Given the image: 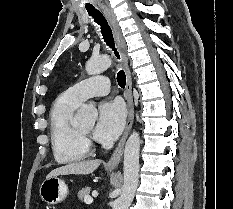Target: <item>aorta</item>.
Wrapping results in <instances>:
<instances>
[{
	"mask_svg": "<svg viewBox=\"0 0 233 209\" xmlns=\"http://www.w3.org/2000/svg\"><path fill=\"white\" fill-rule=\"evenodd\" d=\"M112 60L109 56L103 55L98 58H91L86 63V72L89 75L102 73L110 67ZM97 111L93 106H82L75 115L74 124L81 127H92L95 124ZM139 151L140 135L133 132L124 149V184L121 195L114 202L113 209H128L133 201L139 181Z\"/></svg>",
	"mask_w": 233,
	"mask_h": 209,
	"instance_id": "1",
	"label": "aorta"
}]
</instances>
